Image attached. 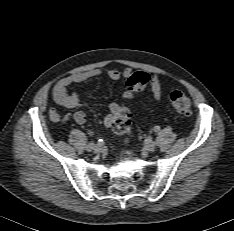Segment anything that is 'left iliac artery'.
<instances>
[{"mask_svg":"<svg viewBox=\"0 0 234 231\" xmlns=\"http://www.w3.org/2000/svg\"><path fill=\"white\" fill-rule=\"evenodd\" d=\"M153 130H154V132H159V131H160V126H155V127L153 128Z\"/></svg>","mask_w":234,"mask_h":231,"instance_id":"44dca946","label":"left iliac artery"}]
</instances>
